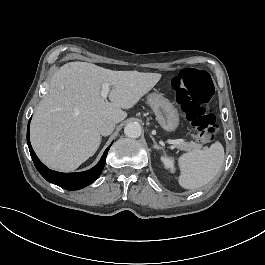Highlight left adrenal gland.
<instances>
[{"mask_svg": "<svg viewBox=\"0 0 265 265\" xmlns=\"http://www.w3.org/2000/svg\"><path fill=\"white\" fill-rule=\"evenodd\" d=\"M150 137H151V139H152V141H153V143H154V146H153V147H154L155 149H162L163 152H164V155H166V153H165L163 147H161V146H159V145L157 144V142L155 141V139L153 138L152 135H150Z\"/></svg>", "mask_w": 265, "mask_h": 265, "instance_id": "1", "label": "left adrenal gland"}]
</instances>
